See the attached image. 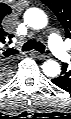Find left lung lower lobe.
Returning a JSON list of instances; mask_svg holds the SVG:
<instances>
[{
	"label": "left lung lower lobe",
	"mask_w": 71,
	"mask_h": 119,
	"mask_svg": "<svg viewBox=\"0 0 71 119\" xmlns=\"http://www.w3.org/2000/svg\"><path fill=\"white\" fill-rule=\"evenodd\" d=\"M68 64L64 63L62 67V73L58 78L52 80V82L61 87L64 90L71 88V72L67 69Z\"/></svg>",
	"instance_id": "0a47b994"
}]
</instances>
